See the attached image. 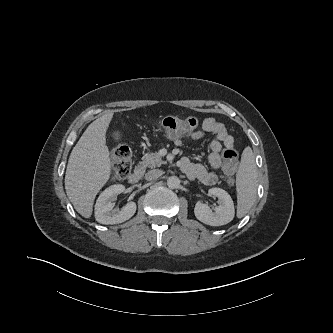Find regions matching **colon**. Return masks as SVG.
<instances>
[{"mask_svg":"<svg viewBox=\"0 0 333 333\" xmlns=\"http://www.w3.org/2000/svg\"><path fill=\"white\" fill-rule=\"evenodd\" d=\"M197 125L198 119L195 116L166 117L158 122L157 127L166 135L177 138L185 133L194 131ZM223 157L224 173L232 181L238 166V152L234 147H227L223 151ZM112 158L114 161L113 179L121 180L126 178L132 170L129 147L124 144L117 145L112 150Z\"/></svg>","mask_w":333,"mask_h":333,"instance_id":"colon-1","label":"colon"}]
</instances>
